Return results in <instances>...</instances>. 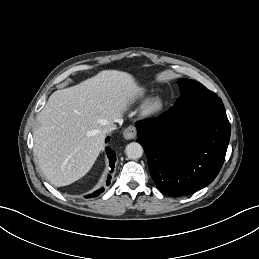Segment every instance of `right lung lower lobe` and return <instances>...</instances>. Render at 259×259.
<instances>
[{
	"instance_id": "98d812e1",
	"label": "right lung lower lobe",
	"mask_w": 259,
	"mask_h": 259,
	"mask_svg": "<svg viewBox=\"0 0 259 259\" xmlns=\"http://www.w3.org/2000/svg\"><path fill=\"white\" fill-rule=\"evenodd\" d=\"M108 140H109V137H107L106 142ZM106 152H107L108 158L110 160V167H111V172H112L114 169V162L116 161L115 153L109 147L106 148ZM110 179H111V176L109 175L108 180H107V185L110 184ZM103 190L104 189L101 188L100 190L94 192L93 194L87 195L85 197L90 198V197L98 196L101 192H103Z\"/></svg>"
}]
</instances>
